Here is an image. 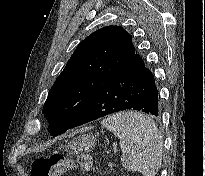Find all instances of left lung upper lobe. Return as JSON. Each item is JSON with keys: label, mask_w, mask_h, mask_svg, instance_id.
Here are the masks:
<instances>
[{"label": "left lung upper lobe", "mask_w": 205, "mask_h": 176, "mask_svg": "<svg viewBox=\"0 0 205 176\" xmlns=\"http://www.w3.org/2000/svg\"><path fill=\"white\" fill-rule=\"evenodd\" d=\"M134 54L131 35L119 26L101 28L80 42L51 87L43 108L50 135L58 136L70 129L98 88Z\"/></svg>", "instance_id": "left-lung-upper-lobe-1"}]
</instances>
